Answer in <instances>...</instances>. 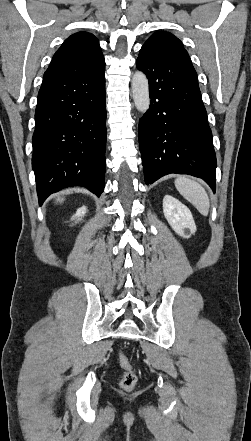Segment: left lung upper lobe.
I'll list each match as a JSON object with an SVG mask.
<instances>
[{
  "label": "left lung upper lobe",
  "instance_id": "1",
  "mask_svg": "<svg viewBox=\"0 0 251 441\" xmlns=\"http://www.w3.org/2000/svg\"><path fill=\"white\" fill-rule=\"evenodd\" d=\"M142 49L153 53L172 56L191 63V59L184 49L182 42L173 34L163 31L155 32L142 46Z\"/></svg>",
  "mask_w": 251,
  "mask_h": 441
}]
</instances>
